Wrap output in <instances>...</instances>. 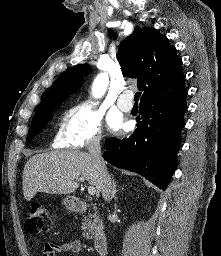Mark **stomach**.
Instances as JSON below:
<instances>
[{
    "instance_id": "1",
    "label": "stomach",
    "mask_w": 221,
    "mask_h": 256,
    "mask_svg": "<svg viewBox=\"0 0 221 256\" xmlns=\"http://www.w3.org/2000/svg\"><path fill=\"white\" fill-rule=\"evenodd\" d=\"M63 204L65 205L66 209L72 211L74 209V198L70 196L66 197Z\"/></svg>"
}]
</instances>
